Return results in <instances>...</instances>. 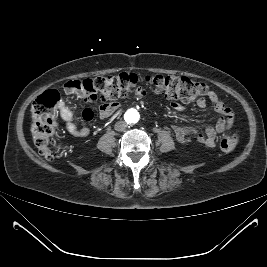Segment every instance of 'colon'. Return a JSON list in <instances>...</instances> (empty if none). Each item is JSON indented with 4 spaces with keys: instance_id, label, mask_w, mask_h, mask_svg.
I'll return each instance as SVG.
<instances>
[{
    "instance_id": "colon-1",
    "label": "colon",
    "mask_w": 267,
    "mask_h": 267,
    "mask_svg": "<svg viewBox=\"0 0 267 267\" xmlns=\"http://www.w3.org/2000/svg\"><path fill=\"white\" fill-rule=\"evenodd\" d=\"M141 81L149 85L153 94L171 102H190L207 96L210 92L206 84L188 77L155 75L142 79L135 73L126 72L114 76L78 80L74 85L86 90L90 100L106 103L124 98L131 93L143 94L144 90L138 86ZM59 101L60 95L56 90H47L32 105V138L47 161H53L57 154L53 135L57 127L56 108ZM239 139L238 132L225 135L220 147L224 151H231L237 146Z\"/></svg>"
}]
</instances>
